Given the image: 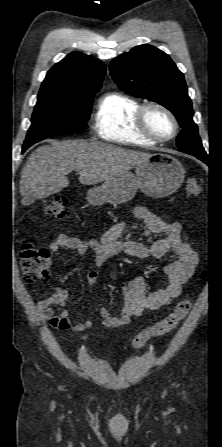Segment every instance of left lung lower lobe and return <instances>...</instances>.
<instances>
[{"label": "left lung lower lobe", "mask_w": 222, "mask_h": 447, "mask_svg": "<svg viewBox=\"0 0 222 447\" xmlns=\"http://www.w3.org/2000/svg\"><path fill=\"white\" fill-rule=\"evenodd\" d=\"M189 154V153H188ZM191 155H193V154H191ZM193 156H195V157H197L198 159H200L201 161H203V162H207V156H198V155H193Z\"/></svg>", "instance_id": "1"}]
</instances>
